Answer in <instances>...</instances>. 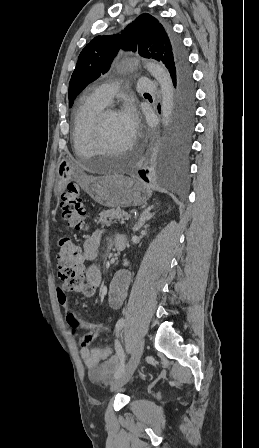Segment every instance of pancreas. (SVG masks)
<instances>
[{
    "instance_id": "obj_1",
    "label": "pancreas",
    "mask_w": 259,
    "mask_h": 448,
    "mask_svg": "<svg viewBox=\"0 0 259 448\" xmlns=\"http://www.w3.org/2000/svg\"><path fill=\"white\" fill-rule=\"evenodd\" d=\"M100 218H97L95 222L97 224H101V226H111V224H115V222H123L126 218L130 217L128 212H124V210H104L99 214Z\"/></svg>"
}]
</instances>
